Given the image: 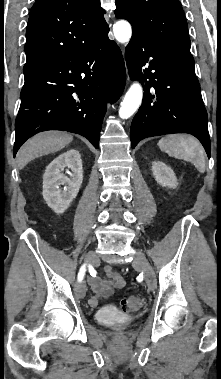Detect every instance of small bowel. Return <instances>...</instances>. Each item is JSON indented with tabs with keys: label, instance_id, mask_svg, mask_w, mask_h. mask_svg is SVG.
I'll return each mask as SVG.
<instances>
[{
	"label": "small bowel",
	"instance_id": "c3829d8e",
	"mask_svg": "<svg viewBox=\"0 0 221 379\" xmlns=\"http://www.w3.org/2000/svg\"><path fill=\"white\" fill-rule=\"evenodd\" d=\"M106 278L94 277L90 280V286L94 296L89 298V304L97 306L100 299L108 298L114 289H122L125 286L124 278L110 265L105 266Z\"/></svg>",
	"mask_w": 221,
	"mask_h": 379
}]
</instances>
